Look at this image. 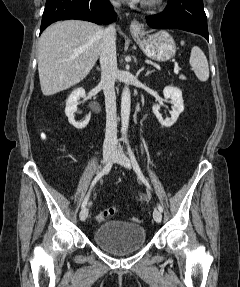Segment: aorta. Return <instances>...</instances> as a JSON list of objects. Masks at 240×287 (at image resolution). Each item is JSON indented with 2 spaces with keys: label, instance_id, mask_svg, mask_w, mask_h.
I'll list each match as a JSON object with an SVG mask.
<instances>
[{
  "label": "aorta",
  "instance_id": "obj_1",
  "mask_svg": "<svg viewBox=\"0 0 240 287\" xmlns=\"http://www.w3.org/2000/svg\"><path fill=\"white\" fill-rule=\"evenodd\" d=\"M130 108H131V95L129 87L128 85H126L122 91L121 96V132L123 138H126L128 130Z\"/></svg>",
  "mask_w": 240,
  "mask_h": 287
}]
</instances>
